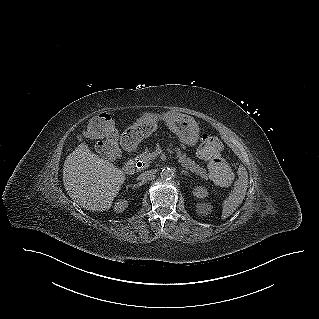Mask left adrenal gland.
<instances>
[{
    "label": "left adrenal gland",
    "mask_w": 319,
    "mask_h": 319,
    "mask_svg": "<svg viewBox=\"0 0 319 319\" xmlns=\"http://www.w3.org/2000/svg\"><path fill=\"white\" fill-rule=\"evenodd\" d=\"M180 174H181V175H186V174H189V172H188V171L183 170V171H181V172H180Z\"/></svg>",
    "instance_id": "obj_1"
}]
</instances>
